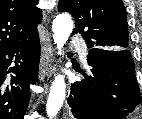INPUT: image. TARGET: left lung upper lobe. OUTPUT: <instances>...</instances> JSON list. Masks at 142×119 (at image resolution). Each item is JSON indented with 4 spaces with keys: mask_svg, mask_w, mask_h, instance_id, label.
Returning <instances> with one entry per match:
<instances>
[{
    "mask_svg": "<svg viewBox=\"0 0 142 119\" xmlns=\"http://www.w3.org/2000/svg\"><path fill=\"white\" fill-rule=\"evenodd\" d=\"M58 10L69 12L74 17L73 34L80 33L88 48L128 49L122 0H60Z\"/></svg>",
    "mask_w": 142,
    "mask_h": 119,
    "instance_id": "5c2ea615",
    "label": "left lung upper lobe"
}]
</instances>
